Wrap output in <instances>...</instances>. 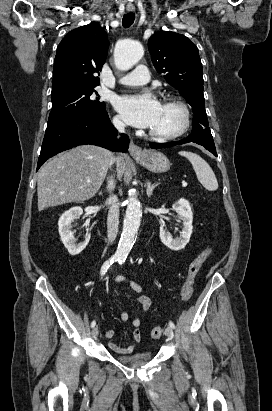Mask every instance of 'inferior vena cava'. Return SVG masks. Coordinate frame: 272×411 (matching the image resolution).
I'll list each match as a JSON object with an SVG mask.
<instances>
[{"label": "inferior vena cava", "instance_id": "602c4592", "mask_svg": "<svg viewBox=\"0 0 272 411\" xmlns=\"http://www.w3.org/2000/svg\"><path fill=\"white\" fill-rule=\"evenodd\" d=\"M113 124L115 128L120 132H125L126 125L118 118L113 119ZM115 161L112 157L111 164ZM115 188V181L113 177L109 179L108 182V190H109V198L107 199L106 203L110 206L108 211V218H107V238L109 243H113L116 239L118 234V225H119V206H118V199L117 196L112 194V191Z\"/></svg>", "mask_w": 272, "mask_h": 411}]
</instances>
